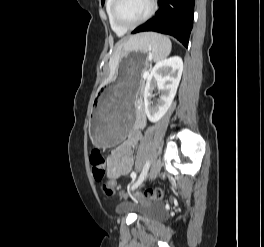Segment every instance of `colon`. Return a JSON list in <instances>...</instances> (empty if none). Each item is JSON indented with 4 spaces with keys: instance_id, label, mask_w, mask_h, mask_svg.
Wrapping results in <instances>:
<instances>
[{
    "instance_id": "5ec220e1",
    "label": "colon",
    "mask_w": 264,
    "mask_h": 247,
    "mask_svg": "<svg viewBox=\"0 0 264 247\" xmlns=\"http://www.w3.org/2000/svg\"><path fill=\"white\" fill-rule=\"evenodd\" d=\"M89 161L94 179L96 181L103 180L107 172V161L104 155L99 150H94L90 154ZM102 188L108 196H117L123 193L113 181L104 182ZM144 195L151 200H161L164 197L160 189H148L144 192Z\"/></svg>"
}]
</instances>
